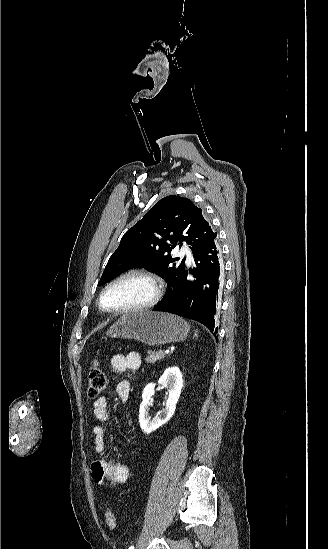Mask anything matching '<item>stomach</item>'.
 I'll use <instances>...</instances> for the list:
<instances>
[{"instance_id": "stomach-1", "label": "stomach", "mask_w": 328, "mask_h": 549, "mask_svg": "<svg viewBox=\"0 0 328 549\" xmlns=\"http://www.w3.org/2000/svg\"><path fill=\"white\" fill-rule=\"evenodd\" d=\"M187 321L158 311H131L117 319L106 335L115 339H135L145 345H165L184 341L189 333Z\"/></svg>"}]
</instances>
